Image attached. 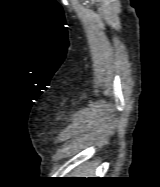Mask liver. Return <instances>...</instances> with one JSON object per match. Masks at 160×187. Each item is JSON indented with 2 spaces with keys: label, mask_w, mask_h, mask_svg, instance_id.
<instances>
[{
  "label": "liver",
  "mask_w": 160,
  "mask_h": 187,
  "mask_svg": "<svg viewBox=\"0 0 160 187\" xmlns=\"http://www.w3.org/2000/svg\"><path fill=\"white\" fill-rule=\"evenodd\" d=\"M92 174L90 169H78L76 175H82V177H89Z\"/></svg>",
  "instance_id": "1"
}]
</instances>
